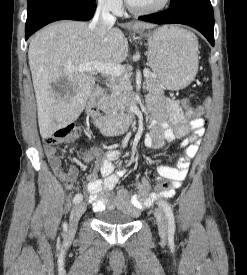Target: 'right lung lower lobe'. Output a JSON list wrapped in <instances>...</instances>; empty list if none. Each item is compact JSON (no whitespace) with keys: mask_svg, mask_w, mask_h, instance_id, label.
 Here are the masks:
<instances>
[{"mask_svg":"<svg viewBox=\"0 0 247 275\" xmlns=\"http://www.w3.org/2000/svg\"><path fill=\"white\" fill-rule=\"evenodd\" d=\"M95 2L80 0H39L28 4L25 40L43 26L58 20H90L95 12Z\"/></svg>","mask_w":247,"mask_h":275,"instance_id":"right-lung-lower-lobe-1","label":"right lung lower lobe"}]
</instances>
